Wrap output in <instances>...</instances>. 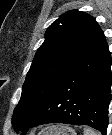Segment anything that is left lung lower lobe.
I'll use <instances>...</instances> for the list:
<instances>
[{"mask_svg":"<svg viewBox=\"0 0 112 135\" xmlns=\"http://www.w3.org/2000/svg\"><path fill=\"white\" fill-rule=\"evenodd\" d=\"M112 58L105 37L61 86L38 108L22 129L48 124L88 125L106 135L111 96Z\"/></svg>","mask_w":112,"mask_h":135,"instance_id":"obj_1","label":"left lung lower lobe"}]
</instances>
